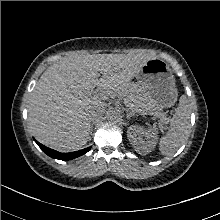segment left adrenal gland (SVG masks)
Here are the masks:
<instances>
[{"label": "left adrenal gland", "instance_id": "left-adrenal-gland-1", "mask_svg": "<svg viewBox=\"0 0 220 220\" xmlns=\"http://www.w3.org/2000/svg\"><path fill=\"white\" fill-rule=\"evenodd\" d=\"M135 116L132 112H127V118L130 119L131 117Z\"/></svg>", "mask_w": 220, "mask_h": 220}]
</instances>
